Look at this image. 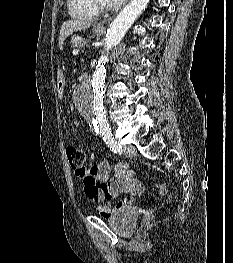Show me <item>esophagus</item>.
<instances>
[{"label": "esophagus", "instance_id": "obj_1", "mask_svg": "<svg viewBox=\"0 0 233 263\" xmlns=\"http://www.w3.org/2000/svg\"><path fill=\"white\" fill-rule=\"evenodd\" d=\"M113 17H114V16L109 17V18H107V19H104L103 21H101L100 23L97 24V27H98V28H104L105 25H106L108 22H110Z\"/></svg>", "mask_w": 233, "mask_h": 263}]
</instances>
